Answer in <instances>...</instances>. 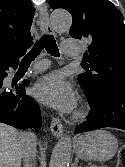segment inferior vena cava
Here are the masks:
<instances>
[{"instance_id": "inferior-vena-cava-1", "label": "inferior vena cava", "mask_w": 125, "mask_h": 167, "mask_svg": "<svg viewBox=\"0 0 125 167\" xmlns=\"http://www.w3.org/2000/svg\"><path fill=\"white\" fill-rule=\"evenodd\" d=\"M22 157L24 158V167H34V159L36 155V135L32 131L24 132L22 134Z\"/></svg>"}]
</instances>
